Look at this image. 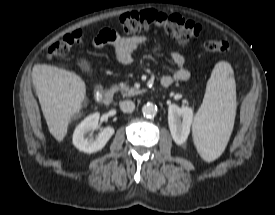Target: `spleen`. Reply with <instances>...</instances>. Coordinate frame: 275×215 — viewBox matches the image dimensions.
<instances>
[{
    "instance_id": "1",
    "label": "spleen",
    "mask_w": 275,
    "mask_h": 215,
    "mask_svg": "<svg viewBox=\"0 0 275 215\" xmlns=\"http://www.w3.org/2000/svg\"><path fill=\"white\" fill-rule=\"evenodd\" d=\"M236 84L231 65L218 62L206 86L203 103L193 121L194 144L206 162L223 153L233 130Z\"/></svg>"
}]
</instances>
